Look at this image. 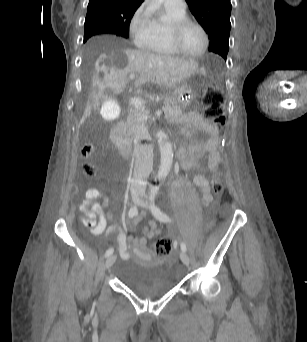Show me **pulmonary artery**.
Wrapping results in <instances>:
<instances>
[{"label":"pulmonary artery","instance_id":"e3ab8cb5","mask_svg":"<svg viewBox=\"0 0 307 342\" xmlns=\"http://www.w3.org/2000/svg\"><path fill=\"white\" fill-rule=\"evenodd\" d=\"M167 11L182 13L186 11V1H161Z\"/></svg>","mask_w":307,"mask_h":342}]
</instances>
